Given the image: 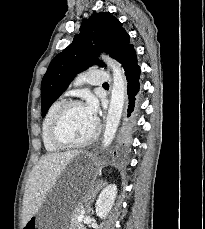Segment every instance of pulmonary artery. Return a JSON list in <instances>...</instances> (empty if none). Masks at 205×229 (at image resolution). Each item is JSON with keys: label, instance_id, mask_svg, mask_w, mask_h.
I'll use <instances>...</instances> for the list:
<instances>
[{"label": "pulmonary artery", "instance_id": "e3ab8cb5", "mask_svg": "<svg viewBox=\"0 0 205 229\" xmlns=\"http://www.w3.org/2000/svg\"><path fill=\"white\" fill-rule=\"evenodd\" d=\"M80 80H84L92 85H103L111 81V76L104 70L90 69L80 76Z\"/></svg>", "mask_w": 205, "mask_h": 229}]
</instances>
